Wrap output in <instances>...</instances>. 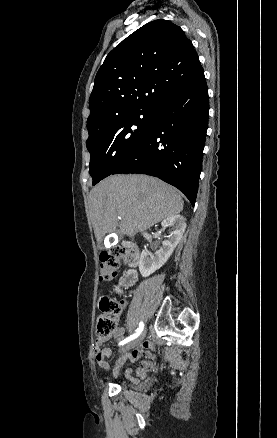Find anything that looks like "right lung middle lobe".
Returning <instances> with one entry per match:
<instances>
[{"mask_svg": "<svg viewBox=\"0 0 277 438\" xmlns=\"http://www.w3.org/2000/svg\"><path fill=\"white\" fill-rule=\"evenodd\" d=\"M154 109L116 116L88 128L89 173L93 185L113 174L144 140L153 122Z\"/></svg>", "mask_w": 277, "mask_h": 438, "instance_id": "dd1d6c3e", "label": "right lung middle lobe"}]
</instances>
